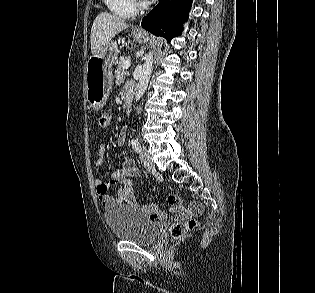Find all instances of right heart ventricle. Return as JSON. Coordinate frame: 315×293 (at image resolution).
I'll use <instances>...</instances> for the list:
<instances>
[{"label": "right heart ventricle", "instance_id": "right-heart-ventricle-1", "mask_svg": "<svg viewBox=\"0 0 315 293\" xmlns=\"http://www.w3.org/2000/svg\"><path fill=\"white\" fill-rule=\"evenodd\" d=\"M109 12L117 18L129 19L136 13L131 0H103Z\"/></svg>", "mask_w": 315, "mask_h": 293}]
</instances>
